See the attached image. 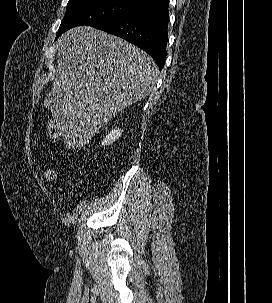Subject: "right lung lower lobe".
<instances>
[{"mask_svg": "<svg viewBox=\"0 0 272 303\" xmlns=\"http://www.w3.org/2000/svg\"><path fill=\"white\" fill-rule=\"evenodd\" d=\"M168 6L169 0H158L91 26L119 36L143 49L162 69L167 55Z\"/></svg>", "mask_w": 272, "mask_h": 303, "instance_id": "98d812e1", "label": "right lung lower lobe"}]
</instances>
